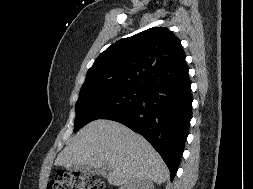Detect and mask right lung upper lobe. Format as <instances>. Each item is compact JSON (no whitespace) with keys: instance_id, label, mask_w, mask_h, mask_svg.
<instances>
[{"instance_id":"1","label":"right lung upper lobe","mask_w":253,"mask_h":189,"mask_svg":"<svg viewBox=\"0 0 253 189\" xmlns=\"http://www.w3.org/2000/svg\"><path fill=\"white\" fill-rule=\"evenodd\" d=\"M188 70L180 40L165 27H153L102 52L88 70L80 93L109 86L146 91L182 81Z\"/></svg>"}]
</instances>
